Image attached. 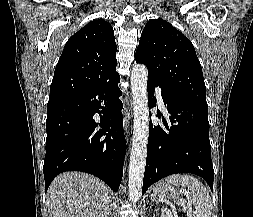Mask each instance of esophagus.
Returning a JSON list of instances; mask_svg holds the SVG:
<instances>
[{
    "label": "esophagus",
    "mask_w": 253,
    "mask_h": 217,
    "mask_svg": "<svg viewBox=\"0 0 253 217\" xmlns=\"http://www.w3.org/2000/svg\"><path fill=\"white\" fill-rule=\"evenodd\" d=\"M124 125L126 128H127V125H129V120L126 116L124 117Z\"/></svg>",
    "instance_id": "34e87169"
}]
</instances>
